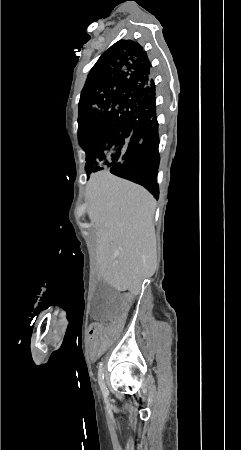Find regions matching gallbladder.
<instances>
[{"label": "gallbladder", "mask_w": 241, "mask_h": 450, "mask_svg": "<svg viewBox=\"0 0 241 450\" xmlns=\"http://www.w3.org/2000/svg\"><path fill=\"white\" fill-rule=\"evenodd\" d=\"M120 292L107 281L97 283L90 313L94 323H110L118 315Z\"/></svg>", "instance_id": "1"}]
</instances>
